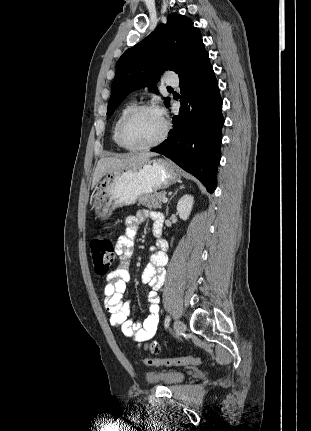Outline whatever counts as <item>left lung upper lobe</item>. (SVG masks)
Masks as SVG:
<instances>
[{
  "mask_svg": "<svg viewBox=\"0 0 311 431\" xmlns=\"http://www.w3.org/2000/svg\"><path fill=\"white\" fill-rule=\"evenodd\" d=\"M200 30L183 15H168L143 41L126 50L116 64L107 116H111L132 91L158 82L166 70L181 77L199 53L204 51ZM150 90L158 93L157 87ZM169 98L165 99L168 107Z\"/></svg>",
  "mask_w": 311,
  "mask_h": 431,
  "instance_id": "5c2ea615",
  "label": "left lung upper lobe"
}]
</instances>
